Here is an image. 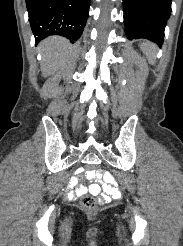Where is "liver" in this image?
Instances as JSON below:
<instances>
[{"label": "liver", "instance_id": "obj_1", "mask_svg": "<svg viewBox=\"0 0 183 246\" xmlns=\"http://www.w3.org/2000/svg\"><path fill=\"white\" fill-rule=\"evenodd\" d=\"M39 50L42 55V75L43 77H48L54 74L67 61L70 43L63 37L53 36L42 41Z\"/></svg>", "mask_w": 183, "mask_h": 246}]
</instances>
